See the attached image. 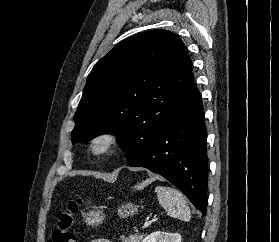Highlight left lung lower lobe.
<instances>
[{"instance_id":"obj_1","label":"left lung lower lobe","mask_w":279,"mask_h":242,"mask_svg":"<svg viewBox=\"0 0 279 242\" xmlns=\"http://www.w3.org/2000/svg\"><path fill=\"white\" fill-rule=\"evenodd\" d=\"M206 139L202 99L192 82L184 101L165 127L148 148L127 165L162 175L205 215L208 203Z\"/></svg>"}]
</instances>
